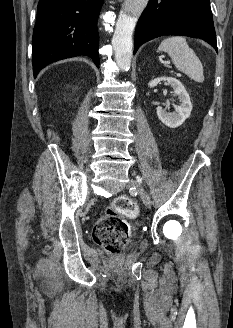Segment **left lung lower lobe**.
<instances>
[{"mask_svg":"<svg viewBox=\"0 0 233 328\" xmlns=\"http://www.w3.org/2000/svg\"><path fill=\"white\" fill-rule=\"evenodd\" d=\"M168 34L200 38L217 50L209 0H149L138 20L134 54L144 42Z\"/></svg>","mask_w":233,"mask_h":328,"instance_id":"obj_1","label":"left lung lower lobe"}]
</instances>
